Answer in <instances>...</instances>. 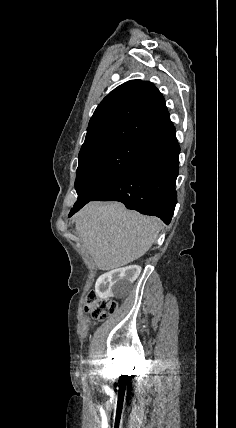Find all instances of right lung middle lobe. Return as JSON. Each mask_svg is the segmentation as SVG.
Here are the masks:
<instances>
[{"label": "right lung middle lobe", "instance_id": "1", "mask_svg": "<svg viewBox=\"0 0 236 428\" xmlns=\"http://www.w3.org/2000/svg\"><path fill=\"white\" fill-rule=\"evenodd\" d=\"M141 141H124L93 153L81 160L77 168L74 208L84 205L109 187L130 165L139 152Z\"/></svg>", "mask_w": 236, "mask_h": 428}]
</instances>
